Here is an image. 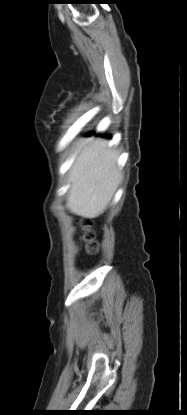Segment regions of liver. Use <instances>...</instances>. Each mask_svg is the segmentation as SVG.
<instances>
[{
	"label": "liver",
	"mask_w": 187,
	"mask_h": 415,
	"mask_svg": "<svg viewBox=\"0 0 187 415\" xmlns=\"http://www.w3.org/2000/svg\"><path fill=\"white\" fill-rule=\"evenodd\" d=\"M119 154L106 140L81 141L70 169L67 206L71 213L95 218L103 213L121 181Z\"/></svg>",
	"instance_id": "6515ba94"
}]
</instances>
